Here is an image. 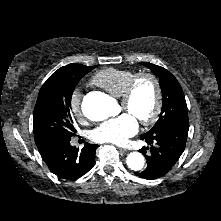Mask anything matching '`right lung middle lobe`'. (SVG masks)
<instances>
[{"instance_id":"1","label":"right lung middle lobe","mask_w":221,"mask_h":221,"mask_svg":"<svg viewBox=\"0 0 221 221\" xmlns=\"http://www.w3.org/2000/svg\"><path fill=\"white\" fill-rule=\"evenodd\" d=\"M92 66L69 64L54 72L40 89L33 113L35 142L71 138L76 130L70 113L73 91Z\"/></svg>"}]
</instances>
